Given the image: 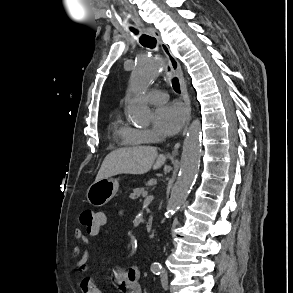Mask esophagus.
<instances>
[{"label": "esophagus", "instance_id": "1", "mask_svg": "<svg viewBox=\"0 0 293 293\" xmlns=\"http://www.w3.org/2000/svg\"><path fill=\"white\" fill-rule=\"evenodd\" d=\"M144 31L153 36L158 43L160 44V47L162 48L163 52L165 53V55L167 56L171 69L173 71V73L178 77L179 82H180V90H181V95L182 98L184 100L185 106H186V111H187V120H186V125L183 131V135L186 133L188 125L190 123L191 120V102H190V98L188 95V91H187V86H186V81L181 69V65L179 63V61L177 60V58L172 54L169 46L167 44H165L161 38L159 33L152 27H146L144 29Z\"/></svg>", "mask_w": 293, "mask_h": 293}]
</instances>
